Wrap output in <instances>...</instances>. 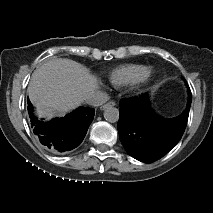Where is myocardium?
Listing matches in <instances>:
<instances>
[{"mask_svg": "<svg viewBox=\"0 0 213 213\" xmlns=\"http://www.w3.org/2000/svg\"><path fill=\"white\" fill-rule=\"evenodd\" d=\"M153 76V70L150 67H147L146 70L143 72V74L135 80L132 84L135 86H141L146 84L151 80Z\"/></svg>", "mask_w": 213, "mask_h": 213, "instance_id": "myocardium-1", "label": "myocardium"}]
</instances>
